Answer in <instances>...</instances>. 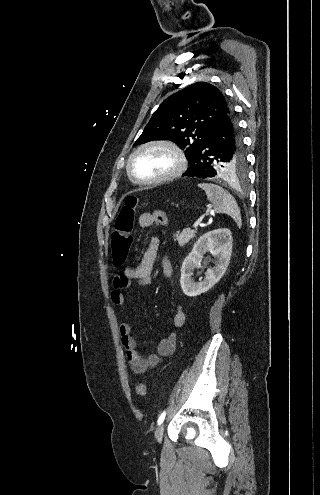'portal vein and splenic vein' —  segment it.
Wrapping results in <instances>:
<instances>
[{"label": "portal vein and splenic vein", "instance_id": "18ae733b", "mask_svg": "<svg viewBox=\"0 0 320 495\" xmlns=\"http://www.w3.org/2000/svg\"><path fill=\"white\" fill-rule=\"evenodd\" d=\"M198 225H199V223H195V224L193 225V228H194V229H197V228H198Z\"/></svg>", "mask_w": 320, "mask_h": 495}]
</instances>
